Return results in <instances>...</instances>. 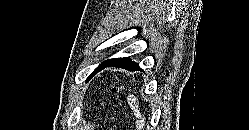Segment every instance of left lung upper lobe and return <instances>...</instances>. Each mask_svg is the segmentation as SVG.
Segmentation results:
<instances>
[{
    "mask_svg": "<svg viewBox=\"0 0 249 130\" xmlns=\"http://www.w3.org/2000/svg\"><path fill=\"white\" fill-rule=\"evenodd\" d=\"M104 63V62H103ZM103 63H101L93 72H92V74L88 77V79H90L91 78V76L94 74V72L100 67V66H102L103 65ZM87 79V80H88Z\"/></svg>",
    "mask_w": 249,
    "mask_h": 130,
    "instance_id": "5c2ea615",
    "label": "left lung upper lobe"
}]
</instances>
